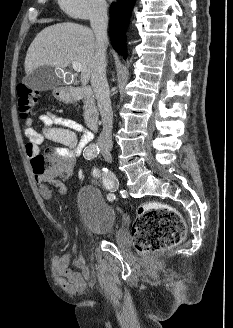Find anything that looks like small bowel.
Here are the masks:
<instances>
[{
    "instance_id": "c3829d8e",
    "label": "small bowel",
    "mask_w": 233,
    "mask_h": 328,
    "mask_svg": "<svg viewBox=\"0 0 233 328\" xmlns=\"http://www.w3.org/2000/svg\"><path fill=\"white\" fill-rule=\"evenodd\" d=\"M40 119L42 124L40 131L33 128L30 120L25 123L24 134L27 138L25 152L33 160L44 140H50L61 145L54 150L50 157L56 163V167L45 175H36L35 177L42 197L50 199L52 193L47 184H54L60 188L62 193L66 192L65 186L56 178L73 171L75 160L83 150L90 146L93 133L72 119L59 117L49 112L43 114ZM77 133L80 134L79 138ZM53 265L59 286L69 294L82 292L90 281L89 269L83 267L80 272L73 269L69 255L55 257Z\"/></svg>"
}]
</instances>
